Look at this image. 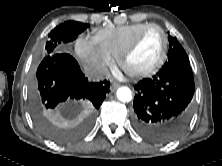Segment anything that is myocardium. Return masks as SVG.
Returning a JSON list of instances; mask_svg holds the SVG:
<instances>
[{
    "instance_id": "1",
    "label": "myocardium",
    "mask_w": 222,
    "mask_h": 166,
    "mask_svg": "<svg viewBox=\"0 0 222 166\" xmlns=\"http://www.w3.org/2000/svg\"><path fill=\"white\" fill-rule=\"evenodd\" d=\"M152 29L158 30L161 33L162 39H163L162 51H161V54H160L158 60L156 61V63L153 66H151L145 70H142V71L133 72V71L127 70V68L125 66L126 59L134 51V49L139 44V42L143 38V36L148 31H150ZM168 48H169V38H168V34L165 31V29L158 24H149L146 27H144L142 30H140L133 37V39L127 44V46L121 51V53L118 56V63L120 65V67L125 71V73L128 74L129 76L137 77V78L147 77L152 74H155L162 67V65L164 64V62L167 58Z\"/></svg>"
}]
</instances>
